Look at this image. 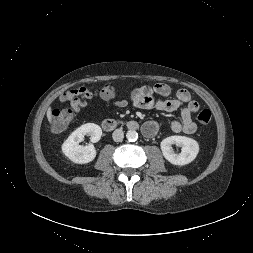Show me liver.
Listing matches in <instances>:
<instances>
[{
	"mask_svg": "<svg viewBox=\"0 0 253 253\" xmlns=\"http://www.w3.org/2000/svg\"><path fill=\"white\" fill-rule=\"evenodd\" d=\"M52 110L51 108H48L47 110V118H48V121L51 123L52 122Z\"/></svg>",
	"mask_w": 253,
	"mask_h": 253,
	"instance_id": "6515ba94",
	"label": "liver"
}]
</instances>
